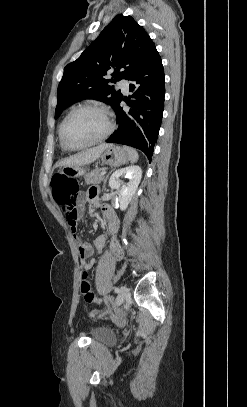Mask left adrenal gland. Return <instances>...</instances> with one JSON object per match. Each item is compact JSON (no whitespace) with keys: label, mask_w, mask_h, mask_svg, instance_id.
Returning a JSON list of instances; mask_svg holds the SVG:
<instances>
[{"label":"left adrenal gland","mask_w":247,"mask_h":407,"mask_svg":"<svg viewBox=\"0 0 247 407\" xmlns=\"http://www.w3.org/2000/svg\"><path fill=\"white\" fill-rule=\"evenodd\" d=\"M108 176H109V174L106 176V178L104 180L103 189H105V183H106V180H107Z\"/></svg>","instance_id":"left-adrenal-gland-1"}]
</instances>
